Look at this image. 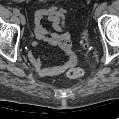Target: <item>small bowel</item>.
<instances>
[{
    "label": "small bowel",
    "mask_w": 119,
    "mask_h": 119,
    "mask_svg": "<svg viewBox=\"0 0 119 119\" xmlns=\"http://www.w3.org/2000/svg\"><path fill=\"white\" fill-rule=\"evenodd\" d=\"M43 20L50 21L57 33H51L46 30L42 25ZM66 23L67 11L58 6H43L38 8L34 13L33 33L35 38L49 45L61 48L68 55V59L64 63L48 67L42 63L39 56L31 52L29 60L39 75L43 77L59 75L65 70L73 68L77 63L76 57L71 51L70 35L64 32ZM31 44L34 48L39 47L37 41H33Z\"/></svg>",
    "instance_id": "small-bowel-1"
}]
</instances>
